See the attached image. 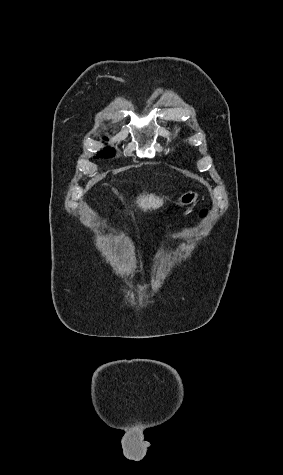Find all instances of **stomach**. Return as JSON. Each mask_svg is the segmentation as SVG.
Wrapping results in <instances>:
<instances>
[{
	"label": "stomach",
	"mask_w": 283,
	"mask_h": 475,
	"mask_svg": "<svg viewBox=\"0 0 283 475\" xmlns=\"http://www.w3.org/2000/svg\"><path fill=\"white\" fill-rule=\"evenodd\" d=\"M198 200L197 192H187L183 194L178 200V206H189V204H194Z\"/></svg>",
	"instance_id": "stomach-1"
}]
</instances>
